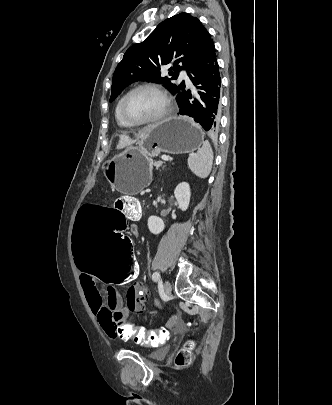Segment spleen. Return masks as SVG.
<instances>
[{"label": "spleen", "instance_id": "spleen-1", "mask_svg": "<svg viewBox=\"0 0 332 405\" xmlns=\"http://www.w3.org/2000/svg\"><path fill=\"white\" fill-rule=\"evenodd\" d=\"M188 167L199 178H207L213 164V151L209 141H204L197 153L188 157Z\"/></svg>", "mask_w": 332, "mask_h": 405}]
</instances>
